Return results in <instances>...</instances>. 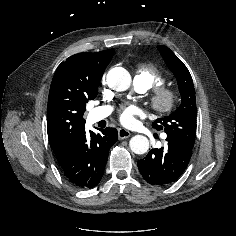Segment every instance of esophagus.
Segmentation results:
<instances>
[{
  "label": "esophagus",
  "mask_w": 236,
  "mask_h": 236,
  "mask_svg": "<svg viewBox=\"0 0 236 236\" xmlns=\"http://www.w3.org/2000/svg\"><path fill=\"white\" fill-rule=\"evenodd\" d=\"M130 136H131V133L128 130H126L124 128L118 129V138L119 139H125V138H128Z\"/></svg>",
  "instance_id": "1"
}]
</instances>
